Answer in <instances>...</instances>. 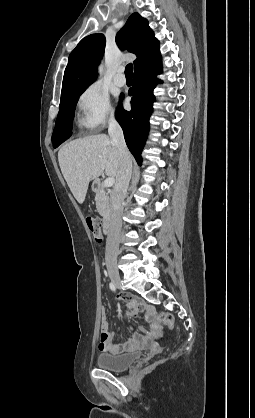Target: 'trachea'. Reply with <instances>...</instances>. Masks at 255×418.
Returning a JSON list of instances; mask_svg holds the SVG:
<instances>
[{
	"instance_id": "trachea-1",
	"label": "trachea",
	"mask_w": 255,
	"mask_h": 418,
	"mask_svg": "<svg viewBox=\"0 0 255 418\" xmlns=\"http://www.w3.org/2000/svg\"><path fill=\"white\" fill-rule=\"evenodd\" d=\"M133 73V64L129 63L125 68V76L132 77Z\"/></svg>"
}]
</instances>
